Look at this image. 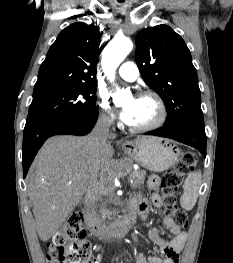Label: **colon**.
Wrapping results in <instances>:
<instances>
[{"label":"colon","mask_w":233,"mask_h":263,"mask_svg":"<svg viewBox=\"0 0 233 263\" xmlns=\"http://www.w3.org/2000/svg\"><path fill=\"white\" fill-rule=\"evenodd\" d=\"M196 163L193 152H184L176 165L162 177L165 216L180 228L188 226L187 213L177 204L176 194L184 177ZM81 212L71 213L47 244L48 263H91V244L85 238Z\"/></svg>","instance_id":"5ec220e1"}]
</instances>
